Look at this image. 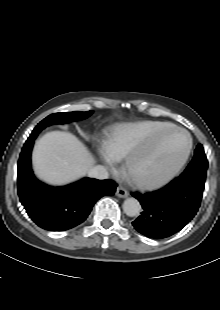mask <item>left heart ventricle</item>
<instances>
[{
	"label": "left heart ventricle",
	"mask_w": 220,
	"mask_h": 310,
	"mask_svg": "<svg viewBox=\"0 0 220 310\" xmlns=\"http://www.w3.org/2000/svg\"><path fill=\"white\" fill-rule=\"evenodd\" d=\"M188 145L185 134L167 131L158 140L154 149L136 161L137 172L149 179H157L172 170L180 161Z\"/></svg>",
	"instance_id": "left-heart-ventricle-1"
}]
</instances>
